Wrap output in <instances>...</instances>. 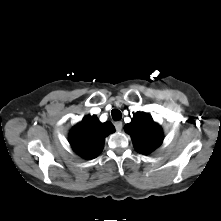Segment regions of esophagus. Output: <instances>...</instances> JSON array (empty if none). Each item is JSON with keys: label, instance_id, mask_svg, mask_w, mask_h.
Returning <instances> with one entry per match:
<instances>
[{"label": "esophagus", "instance_id": "esophagus-1", "mask_svg": "<svg viewBox=\"0 0 221 221\" xmlns=\"http://www.w3.org/2000/svg\"><path fill=\"white\" fill-rule=\"evenodd\" d=\"M114 125H115L116 130H118V131L122 130L123 124L121 121L115 122Z\"/></svg>", "mask_w": 221, "mask_h": 221}]
</instances>
